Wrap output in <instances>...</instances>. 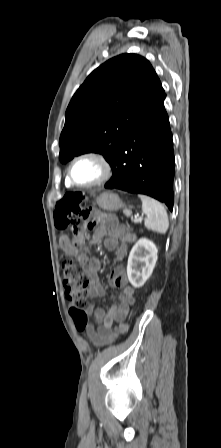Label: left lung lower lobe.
<instances>
[{"instance_id": "obj_1", "label": "left lung lower lobe", "mask_w": 221, "mask_h": 448, "mask_svg": "<svg viewBox=\"0 0 221 448\" xmlns=\"http://www.w3.org/2000/svg\"><path fill=\"white\" fill-rule=\"evenodd\" d=\"M166 94L156 99L125 135L110 163L113 176L105 184L151 196L173 209L174 151Z\"/></svg>"}]
</instances>
